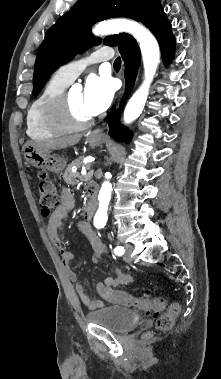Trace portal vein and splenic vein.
<instances>
[{"mask_svg": "<svg viewBox=\"0 0 221 379\" xmlns=\"http://www.w3.org/2000/svg\"><path fill=\"white\" fill-rule=\"evenodd\" d=\"M89 162H93V160H90ZM81 174H82L84 177H88V176H90V175L92 174V171H90V172L87 173V171H86L85 169H83V170L81 171Z\"/></svg>", "mask_w": 221, "mask_h": 379, "instance_id": "obj_1", "label": "portal vein and splenic vein"}]
</instances>
